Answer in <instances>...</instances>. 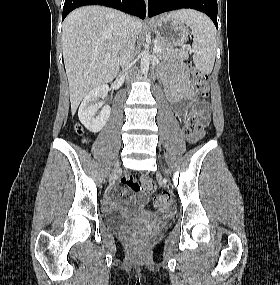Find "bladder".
<instances>
[{
	"instance_id": "1",
	"label": "bladder",
	"mask_w": 280,
	"mask_h": 285,
	"mask_svg": "<svg viewBox=\"0 0 280 285\" xmlns=\"http://www.w3.org/2000/svg\"><path fill=\"white\" fill-rule=\"evenodd\" d=\"M103 217L105 223L113 229H123L135 222V218L118 213H105Z\"/></svg>"
}]
</instances>
